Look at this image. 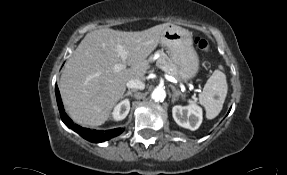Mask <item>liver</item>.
<instances>
[{"mask_svg":"<svg viewBox=\"0 0 287 175\" xmlns=\"http://www.w3.org/2000/svg\"><path fill=\"white\" fill-rule=\"evenodd\" d=\"M170 23L144 31L126 32L101 28L86 34L65 64L60 91L66 110L78 124L96 127L103 124L122 99L126 84L144 79L150 65L147 57L161 40ZM122 45L127 58L122 60L117 46ZM124 63L129 68L114 70Z\"/></svg>","mask_w":287,"mask_h":175,"instance_id":"6515ba94","label":"liver"}]
</instances>
